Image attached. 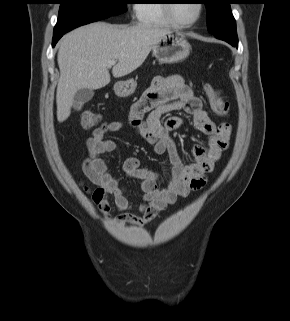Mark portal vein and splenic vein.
<instances>
[{
    "mask_svg": "<svg viewBox=\"0 0 290 321\" xmlns=\"http://www.w3.org/2000/svg\"><path fill=\"white\" fill-rule=\"evenodd\" d=\"M115 64H116V61L115 60H111L108 63V67H111L112 65H115Z\"/></svg>",
    "mask_w": 290,
    "mask_h": 321,
    "instance_id": "obj_1",
    "label": "portal vein and splenic vein"
}]
</instances>
